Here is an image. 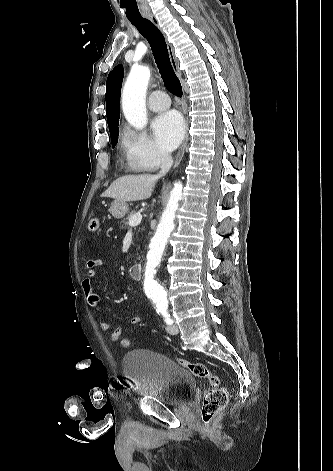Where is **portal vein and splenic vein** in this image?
I'll return each mask as SVG.
<instances>
[{"instance_id":"obj_1","label":"portal vein and splenic vein","mask_w":333,"mask_h":471,"mask_svg":"<svg viewBox=\"0 0 333 471\" xmlns=\"http://www.w3.org/2000/svg\"><path fill=\"white\" fill-rule=\"evenodd\" d=\"M141 220H142V215L141 213H135L134 215H132L129 219V225L131 226H137L141 223Z\"/></svg>"}]
</instances>
